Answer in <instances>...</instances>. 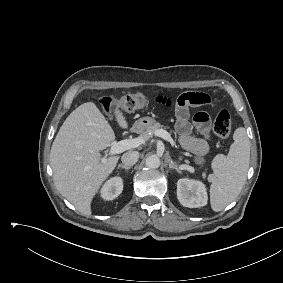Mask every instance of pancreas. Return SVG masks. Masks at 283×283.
Returning <instances> with one entry per match:
<instances>
[{"instance_id":"cf45deb5","label":"pancreas","mask_w":283,"mask_h":283,"mask_svg":"<svg viewBox=\"0 0 283 283\" xmlns=\"http://www.w3.org/2000/svg\"><path fill=\"white\" fill-rule=\"evenodd\" d=\"M162 128H164L162 124H160L159 122H155L151 127L144 131L145 139H149L155 134L156 130ZM186 163H188V161H186ZM203 176L205 177V174H203Z\"/></svg>"}]
</instances>
